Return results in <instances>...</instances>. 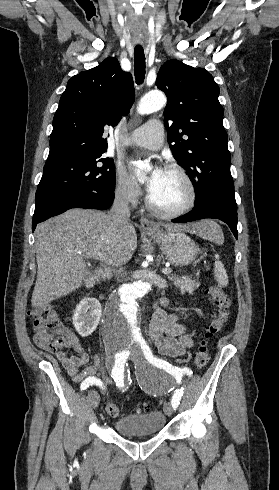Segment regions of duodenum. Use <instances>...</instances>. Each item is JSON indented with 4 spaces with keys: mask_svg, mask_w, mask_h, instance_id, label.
I'll return each instance as SVG.
<instances>
[{
    "mask_svg": "<svg viewBox=\"0 0 279 490\" xmlns=\"http://www.w3.org/2000/svg\"><path fill=\"white\" fill-rule=\"evenodd\" d=\"M98 276H99V272H97L95 275H93L92 277L86 280L85 286L87 289H91L95 285Z\"/></svg>",
    "mask_w": 279,
    "mask_h": 490,
    "instance_id": "410a0bca",
    "label": "duodenum"
}]
</instances>
